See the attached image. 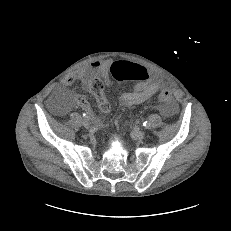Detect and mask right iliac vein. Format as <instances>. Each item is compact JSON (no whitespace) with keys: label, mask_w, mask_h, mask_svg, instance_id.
<instances>
[{"label":"right iliac vein","mask_w":231,"mask_h":231,"mask_svg":"<svg viewBox=\"0 0 231 231\" xmlns=\"http://www.w3.org/2000/svg\"><path fill=\"white\" fill-rule=\"evenodd\" d=\"M82 125L84 128L89 129L90 128V123L87 120H83Z\"/></svg>","instance_id":"1"}]
</instances>
